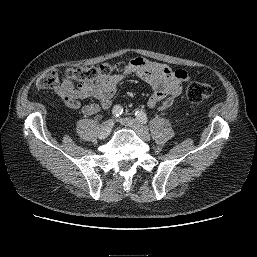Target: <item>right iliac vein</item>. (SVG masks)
<instances>
[{"mask_svg": "<svg viewBox=\"0 0 257 257\" xmlns=\"http://www.w3.org/2000/svg\"><path fill=\"white\" fill-rule=\"evenodd\" d=\"M113 126H114V121L112 119H109L103 122L99 127V133H98L99 137L100 138L107 137L110 134Z\"/></svg>", "mask_w": 257, "mask_h": 257, "instance_id": "right-iliac-vein-1", "label": "right iliac vein"}]
</instances>
